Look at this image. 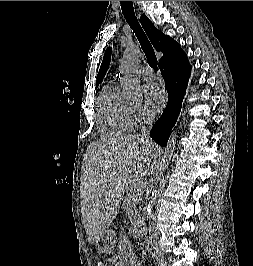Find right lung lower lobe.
I'll return each instance as SVG.
<instances>
[{"label":"right lung lower lobe","instance_id":"1","mask_svg":"<svg viewBox=\"0 0 253 266\" xmlns=\"http://www.w3.org/2000/svg\"><path fill=\"white\" fill-rule=\"evenodd\" d=\"M159 68L168 92V103L161 117L153 125L150 136L165 147L180 113L191 66L187 55L181 50L171 59L159 63Z\"/></svg>","mask_w":253,"mask_h":266}]
</instances>
